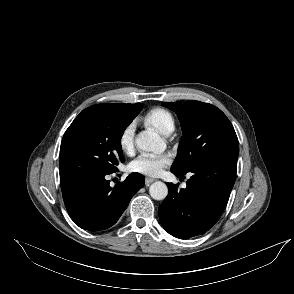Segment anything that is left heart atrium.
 <instances>
[{
  "mask_svg": "<svg viewBox=\"0 0 294 294\" xmlns=\"http://www.w3.org/2000/svg\"><path fill=\"white\" fill-rule=\"evenodd\" d=\"M170 162L171 159L166 154H142L129 163V170L134 173L154 177L160 175Z\"/></svg>",
  "mask_w": 294,
  "mask_h": 294,
  "instance_id": "left-heart-atrium-1",
  "label": "left heart atrium"
}]
</instances>
